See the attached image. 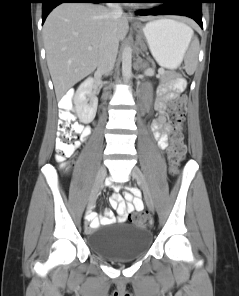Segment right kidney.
I'll list each match as a JSON object with an SVG mask.
<instances>
[{"instance_id":"right-kidney-1","label":"right kidney","mask_w":239,"mask_h":296,"mask_svg":"<svg viewBox=\"0 0 239 296\" xmlns=\"http://www.w3.org/2000/svg\"><path fill=\"white\" fill-rule=\"evenodd\" d=\"M94 79L88 78L78 87L74 97L76 114L82 123H90L97 111L98 98L93 92Z\"/></svg>"}]
</instances>
